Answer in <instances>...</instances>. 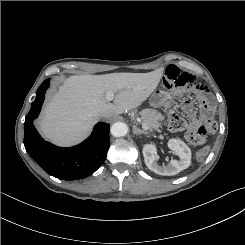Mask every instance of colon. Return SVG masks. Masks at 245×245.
I'll use <instances>...</instances> for the list:
<instances>
[{"instance_id": "1", "label": "colon", "mask_w": 245, "mask_h": 245, "mask_svg": "<svg viewBox=\"0 0 245 245\" xmlns=\"http://www.w3.org/2000/svg\"><path fill=\"white\" fill-rule=\"evenodd\" d=\"M169 127L173 131H182L186 129V122L175 112H170ZM217 131V123L212 119H207L202 126L197 130H188L186 132V139L193 145L201 146L197 153V159L202 161L208 154V147L204 146L207 142L208 136L214 134Z\"/></svg>"}]
</instances>
